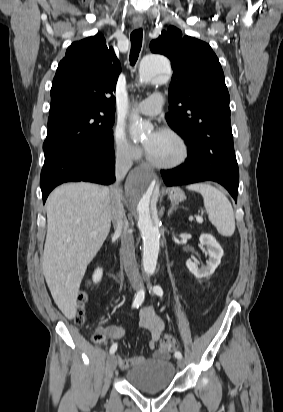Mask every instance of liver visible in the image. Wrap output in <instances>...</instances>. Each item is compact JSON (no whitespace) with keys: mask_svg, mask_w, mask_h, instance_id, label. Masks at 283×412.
<instances>
[{"mask_svg":"<svg viewBox=\"0 0 283 412\" xmlns=\"http://www.w3.org/2000/svg\"><path fill=\"white\" fill-rule=\"evenodd\" d=\"M46 212L43 274L56 305L73 319L87 266L110 231V189L84 182L61 185L49 195Z\"/></svg>","mask_w":283,"mask_h":412,"instance_id":"1","label":"liver"}]
</instances>
